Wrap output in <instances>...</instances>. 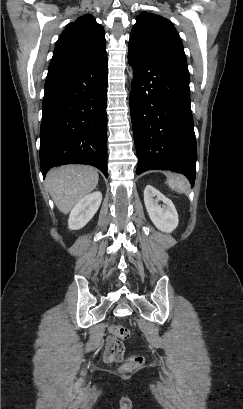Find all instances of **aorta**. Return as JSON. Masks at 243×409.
Returning <instances> with one entry per match:
<instances>
[{"label":"aorta","instance_id":"1","mask_svg":"<svg viewBox=\"0 0 243 409\" xmlns=\"http://www.w3.org/2000/svg\"><path fill=\"white\" fill-rule=\"evenodd\" d=\"M129 75H130V78L133 77V70L132 69H130Z\"/></svg>","mask_w":243,"mask_h":409}]
</instances>
